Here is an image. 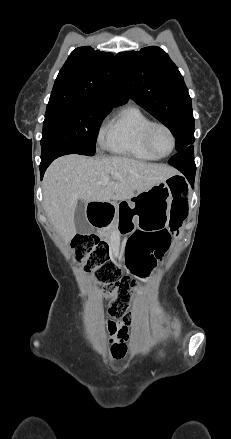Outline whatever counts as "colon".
I'll list each match as a JSON object with an SVG mask.
<instances>
[{"mask_svg": "<svg viewBox=\"0 0 231 439\" xmlns=\"http://www.w3.org/2000/svg\"><path fill=\"white\" fill-rule=\"evenodd\" d=\"M169 184L174 196L169 227L177 231L188 214L189 188L181 179H172ZM144 229L147 230V227ZM143 240L144 236L136 234L129 241L136 255L140 254V244ZM71 247L75 251L77 263L83 264L86 272L104 286L105 294L116 296L109 303L110 314L128 322L126 308L131 294L139 289L137 281L133 277L121 275L118 265L111 257L109 245L97 235H78L73 239ZM132 268L137 277L148 275L139 264L133 265Z\"/></svg>", "mask_w": 231, "mask_h": 439, "instance_id": "colon-1", "label": "colon"}]
</instances>
